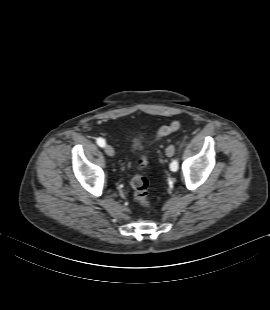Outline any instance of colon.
<instances>
[{
    "mask_svg": "<svg viewBox=\"0 0 270 310\" xmlns=\"http://www.w3.org/2000/svg\"><path fill=\"white\" fill-rule=\"evenodd\" d=\"M180 127L178 121H173L169 125L163 126L159 129L157 133V138L161 139L169 134L177 131ZM148 160L145 157H141L138 162V167L140 171H143L148 168ZM131 186L133 188V194L136 202L143 208H148L150 206L149 199V182L148 179L141 173L136 174L132 181Z\"/></svg>",
    "mask_w": 270,
    "mask_h": 310,
    "instance_id": "colon-1",
    "label": "colon"
}]
</instances>
